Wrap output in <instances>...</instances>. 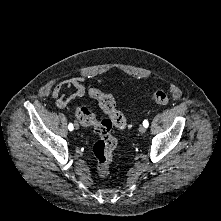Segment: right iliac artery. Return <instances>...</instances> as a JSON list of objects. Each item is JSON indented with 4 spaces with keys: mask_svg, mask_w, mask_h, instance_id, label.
<instances>
[{
    "mask_svg": "<svg viewBox=\"0 0 221 221\" xmlns=\"http://www.w3.org/2000/svg\"><path fill=\"white\" fill-rule=\"evenodd\" d=\"M68 129H69L70 131H72V130L74 129L73 124L70 123V124L68 125Z\"/></svg>",
    "mask_w": 221,
    "mask_h": 221,
    "instance_id": "1",
    "label": "right iliac artery"
}]
</instances>
